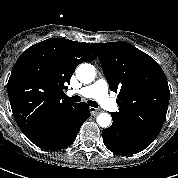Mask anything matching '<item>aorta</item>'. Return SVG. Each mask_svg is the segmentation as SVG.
Returning a JSON list of instances; mask_svg holds the SVG:
<instances>
[{"label":"aorta","instance_id":"obj_1","mask_svg":"<svg viewBox=\"0 0 178 178\" xmlns=\"http://www.w3.org/2000/svg\"><path fill=\"white\" fill-rule=\"evenodd\" d=\"M96 76L95 68L91 64L82 63L76 69V77L77 79L84 84L91 83L94 81ZM97 123L99 126L103 128H107L112 123V118L107 113H101L97 117Z\"/></svg>","mask_w":178,"mask_h":178}]
</instances>
